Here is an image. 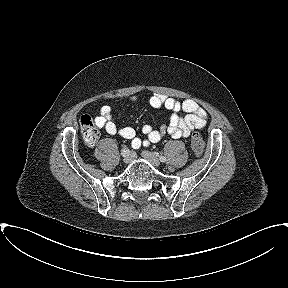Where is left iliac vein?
Here are the masks:
<instances>
[{
  "mask_svg": "<svg viewBox=\"0 0 288 288\" xmlns=\"http://www.w3.org/2000/svg\"><path fill=\"white\" fill-rule=\"evenodd\" d=\"M142 157L148 160L152 165L158 167L160 166L161 162L156 154L150 152V151H143Z\"/></svg>",
  "mask_w": 288,
  "mask_h": 288,
  "instance_id": "4c4485c4",
  "label": "left iliac vein"
}]
</instances>
